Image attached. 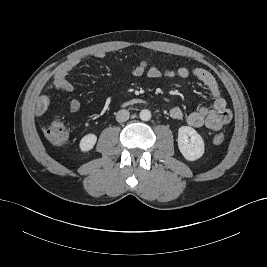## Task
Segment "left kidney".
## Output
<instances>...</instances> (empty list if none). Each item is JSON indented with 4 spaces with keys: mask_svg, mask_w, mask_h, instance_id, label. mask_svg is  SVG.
I'll list each match as a JSON object with an SVG mask.
<instances>
[{
    "mask_svg": "<svg viewBox=\"0 0 267 267\" xmlns=\"http://www.w3.org/2000/svg\"><path fill=\"white\" fill-rule=\"evenodd\" d=\"M177 141L181 154L188 161H195L204 154L203 138L192 127H180Z\"/></svg>",
    "mask_w": 267,
    "mask_h": 267,
    "instance_id": "obj_1",
    "label": "left kidney"
}]
</instances>
